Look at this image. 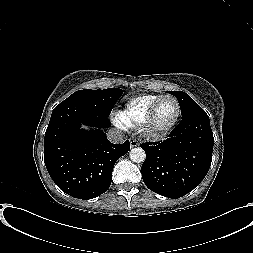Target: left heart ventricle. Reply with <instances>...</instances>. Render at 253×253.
Wrapping results in <instances>:
<instances>
[{
	"instance_id": "left-heart-ventricle-1",
	"label": "left heart ventricle",
	"mask_w": 253,
	"mask_h": 253,
	"mask_svg": "<svg viewBox=\"0 0 253 253\" xmlns=\"http://www.w3.org/2000/svg\"><path fill=\"white\" fill-rule=\"evenodd\" d=\"M176 104L172 99H164L157 111L155 123L158 127L169 124L176 115Z\"/></svg>"
}]
</instances>
